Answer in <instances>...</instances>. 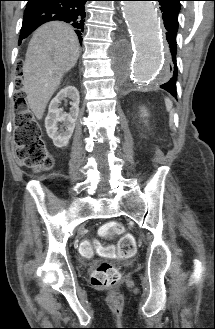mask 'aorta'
<instances>
[{
	"label": "aorta",
	"mask_w": 215,
	"mask_h": 329,
	"mask_svg": "<svg viewBox=\"0 0 215 329\" xmlns=\"http://www.w3.org/2000/svg\"><path fill=\"white\" fill-rule=\"evenodd\" d=\"M122 11L135 47V81L141 86L155 84L164 77V44L156 6L152 1H123Z\"/></svg>",
	"instance_id": "1"
}]
</instances>
